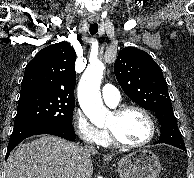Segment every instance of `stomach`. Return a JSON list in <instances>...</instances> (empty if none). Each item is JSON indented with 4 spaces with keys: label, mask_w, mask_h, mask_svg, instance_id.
<instances>
[{
    "label": "stomach",
    "mask_w": 194,
    "mask_h": 178,
    "mask_svg": "<svg viewBox=\"0 0 194 178\" xmlns=\"http://www.w3.org/2000/svg\"><path fill=\"white\" fill-rule=\"evenodd\" d=\"M121 178H158L161 164L149 150H139L126 155L117 162Z\"/></svg>",
    "instance_id": "0dacf381"
}]
</instances>
